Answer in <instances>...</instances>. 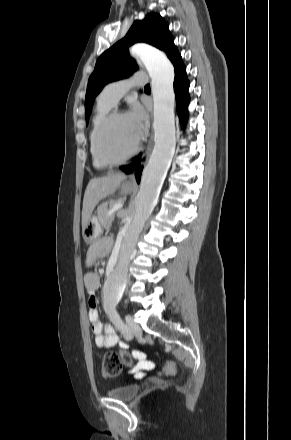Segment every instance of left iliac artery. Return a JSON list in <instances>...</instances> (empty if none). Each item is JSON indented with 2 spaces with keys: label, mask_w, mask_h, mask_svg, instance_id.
<instances>
[{
  "label": "left iliac artery",
  "mask_w": 291,
  "mask_h": 440,
  "mask_svg": "<svg viewBox=\"0 0 291 440\" xmlns=\"http://www.w3.org/2000/svg\"><path fill=\"white\" fill-rule=\"evenodd\" d=\"M116 325L118 326V327H120V328H122L123 330H124V332H125V334H128L129 332H128V329H127V327L120 321V319L119 318H117L116 319Z\"/></svg>",
  "instance_id": "obj_1"
}]
</instances>
